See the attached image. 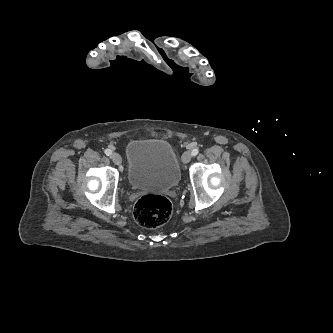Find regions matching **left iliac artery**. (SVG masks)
Listing matches in <instances>:
<instances>
[{
    "label": "left iliac artery",
    "mask_w": 333,
    "mask_h": 333,
    "mask_svg": "<svg viewBox=\"0 0 333 333\" xmlns=\"http://www.w3.org/2000/svg\"><path fill=\"white\" fill-rule=\"evenodd\" d=\"M198 152H199L198 148H195L192 150L191 154H192V156H196L198 154Z\"/></svg>",
    "instance_id": "44dca946"
}]
</instances>
